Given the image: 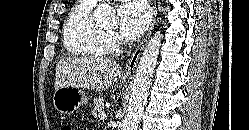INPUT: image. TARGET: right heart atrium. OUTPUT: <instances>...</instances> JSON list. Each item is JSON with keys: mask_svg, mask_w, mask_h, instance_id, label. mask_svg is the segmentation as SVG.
I'll return each mask as SVG.
<instances>
[{"mask_svg": "<svg viewBox=\"0 0 249 130\" xmlns=\"http://www.w3.org/2000/svg\"><path fill=\"white\" fill-rule=\"evenodd\" d=\"M109 39H110V44L112 47L114 48H118L119 44H120V39L117 35L115 34H111L109 36Z\"/></svg>", "mask_w": 249, "mask_h": 130, "instance_id": "right-heart-atrium-1", "label": "right heart atrium"}]
</instances>
